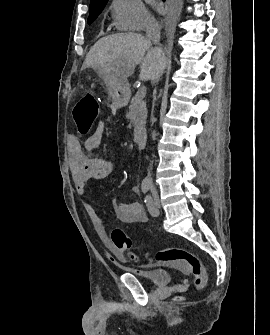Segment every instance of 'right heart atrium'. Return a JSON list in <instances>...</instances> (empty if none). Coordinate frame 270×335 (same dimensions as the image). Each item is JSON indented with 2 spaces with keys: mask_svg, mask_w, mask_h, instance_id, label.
Instances as JSON below:
<instances>
[{
  "mask_svg": "<svg viewBox=\"0 0 270 335\" xmlns=\"http://www.w3.org/2000/svg\"><path fill=\"white\" fill-rule=\"evenodd\" d=\"M116 26L121 30L140 31V25H158L140 0H112Z\"/></svg>",
  "mask_w": 270,
  "mask_h": 335,
  "instance_id": "right-heart-atrium-1",
  "label": "right heart atrium"
}]
</instances>
